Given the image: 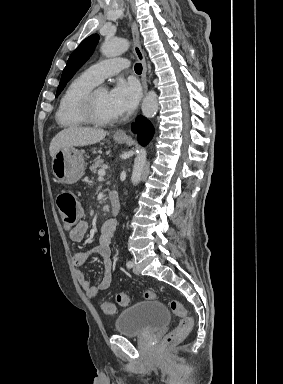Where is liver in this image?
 <instances>
[{
	"label": "liver",
	"mask_w": 283,
	"mask_h": 384,
	"mask_svg": "<svg viewBox=\"0 0 283 384\" xmlns=\"http://www.w3.org/2000/svg\"><path fill=\"white\" fill-rule=\"evenodd\" d=\"M107 132L104 130H94V128H78V126H69L62 130L53 138L49 152L51 158H54L58 150L68 148V146H91L97 144L105 138Z\"/></svg>",
	"instance_id": "liver-1"
}]
</instances>
